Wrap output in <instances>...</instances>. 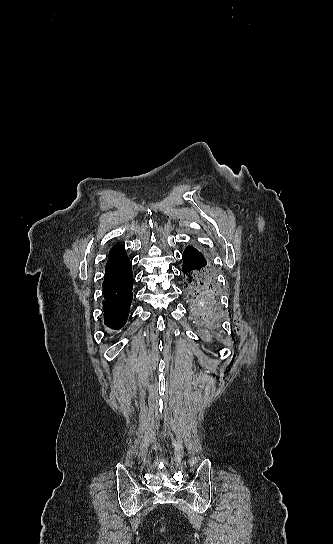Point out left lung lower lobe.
<instances>
[{"instance_id": "0a47b994", "label": "left lung lower lobe", "mask_w": 333, "mask_h": 544, "mask_svg": "<svg viewBox=\"0 0 333 544\" xmlns=\"http://www.w3.org/2000/svg\"><path fill=\"white\" fill-rule=\"evenodd\" d=\"M182 272L190 313L206 338L213 339L220 326V305L216 274L211 262L196 248L183 252Z\"/></svg>"}]
</instances>
